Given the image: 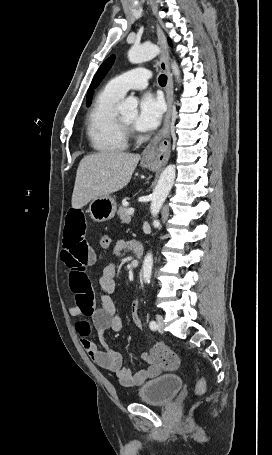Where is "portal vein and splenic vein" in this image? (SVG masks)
I'll list each match as a JSON object with an SVG mask.
<instances>
[{
  "label": "portal vein and splenic vein",
  "mask_w": 272,
  "mask_h": 455,
  "mask_svg": "<svg viewBox=\"0 0 272 455\" xmlns=\"http://www.w3.org/2000/svg\"><path fill=\"white\" fill-rule=\"evenodd\" d=\"M128 214H129V215L134 214V208H129V209H128Z\"/></svg>",
  "instance_id": "portal-vein-and-splenic-vein-1"
}]
</instances>
